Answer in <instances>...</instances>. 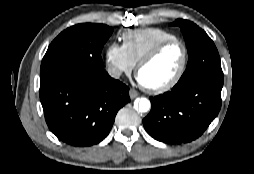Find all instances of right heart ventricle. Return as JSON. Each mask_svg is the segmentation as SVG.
Listing matches in <instances>:
<instances>
[{"mask_svg":"<svg viewBox=\"0 0 254 174\" xmlns=\"http://www.w3.org/2000/svg\"><path fill=\"white\" fill-rule=\"evenodd\" d=\"M176 38L172 32L158 27L127 30L122 34L123 47L136 65L154 46Z\"/></svg>","mask_w":254,"mask_h":174,"instance_id":"right-heart-ventricle-1","label":"right heart ventricle"}]
</instances>
